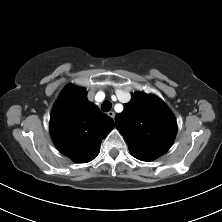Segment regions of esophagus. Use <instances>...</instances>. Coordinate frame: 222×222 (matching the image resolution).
<instances>
[{
  "instance_id": "1",
  "label": "esophagus",
  "mask_w": 222,
  "mask_h": 222,
  "mask_svg": "<svg viewBox=\"0 0 222 222\" xmlns=\"http://www.w3.org/2000/svg\"><path fill=\"white\" fill-rule=\"evenodd\" d=\"M107 115L110 116V117L113 118V119H114V117H115V113H114L113 111H109V112L107 113Z\"/></svg>"
}]
</instances>
